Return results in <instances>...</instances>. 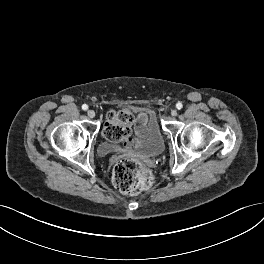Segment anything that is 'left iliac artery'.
I'll use <instances>...</instances> for the list:
<instances>
[{
	"mask_svg": "<svg viewBox=\"0 0 264 264\" xmlns=\"http://www.w3.org/2000/svg\"><path fill=\"white\" fill-rule=\"evenodd\" d=\"M182 107H183L182 103L178 102V103L176 104V108H177V109L180 110Z\"/></svg>",
	"mask_w": 264,
	"mask_h": 264,
	"instance_id": "44dca946",
	"label": "left iliac artery"
}]
</instances>
